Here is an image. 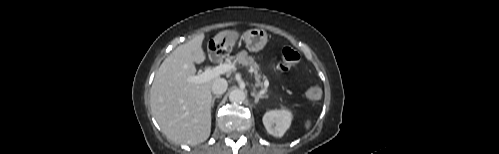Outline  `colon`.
Returning a JSON list of instances; mask_svg holds the SVG:
<instances>
[{"instance_id":"colon-1","label":"colon","mask_w":499,"mask_h":154,"mask_svg":"<svg viewBox=\"0 0 499 154\" xmlns=\"http://www.w3.org/2000/svg\"><path fill=\"white\" fill-rule=\"evenodd\" d=\"M299 60L300 55L295 49L291 47H285L282 50L279 67L282 71H288L293 68L299 62ZM306 96L311 101H319L322 97V90L320 86L317 84L310 86L306 91Z\"/></svg>"}]
</instances>
